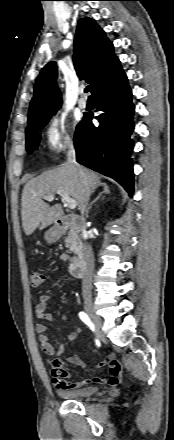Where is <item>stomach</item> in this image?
Instances as JSON below:
<instances>
[{
	"mask_svg": "<svg viewBox=\"0 0 174 440\" xmlns=\"http://www.w3.org/2000/svg\"><path fill=\"white\" fill-rule=\"evenodd\" d=\"M44 238L48 243H54L60 238V234L56 230L51 228L46 231Z\"/></svg>",
	"mask_w": 174,
	"mask_h": 440,
	"instance_id": "0dacf381",
	"label": "stomach"
}]
</instances>
